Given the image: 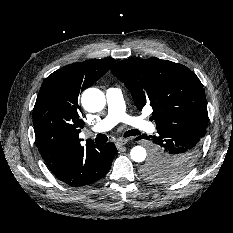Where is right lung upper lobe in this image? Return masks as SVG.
<instances>
[{
	"mask_svg": "<svg viewBox=\"0 0 233 233\" xmlns=\"http://www.w3.org/2000/svg\"><path fill=\"white\" fill-rule=\"evenodd\" d=\"M115 63L94 59L62 67L43 82L33 109L34 132L39 151L51 171L86 147L79 139L84 122L79 114L78 96Z\"/></svg>",
	"mask_w": 233,
	"mask_h": 233,
	"instance_id": "cb5924a9",
	"label": "right lung upper lobe"
}]
</instances>
